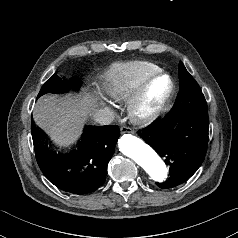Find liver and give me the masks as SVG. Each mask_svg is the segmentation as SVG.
I'll use <instances>...</instances> for the list:
<instances>
[{
  "label": "liver",
  "instance_id": "1",
  "mask_svg": "<svg viewBox=\"0 0 238 238\" xmlns=\"http://www.w3.org/2000/svg\"><path fill=\"white\" fill-rule=\"evenodd\" d=\"M96 111V100L89 94L44 95L35 105L33 119L55 145L67 148L77 142L87 117Z\"/></svg>",
  "mask_w": 238,
  "mask_h": 238
}]
</instances>
